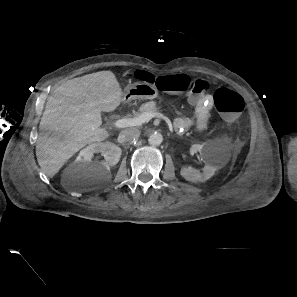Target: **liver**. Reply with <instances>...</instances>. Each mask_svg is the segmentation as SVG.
Returning a JSON list of instances; mask_svg holds the SVG:
<instances>
[{"instance_id":"1","label":"liver","mask_w":297,"mask_h":297,"mask_svg":"<svg viewBox=\"0 0 297 297\" xmlns=\"http://www.w3.org/2000/svg\"><path fill=\"white\" fill-rule=\"evenodd\" d=\"M122 94L111 71L87 74L55 88L47 100L36 141L42 172L53 177L81 148L107 139L101 112L114 111Z\"/></svg>"}]
</instances>
